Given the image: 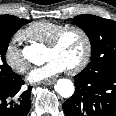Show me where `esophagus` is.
I'll return each instance as SVG.
<instances>
[{
  "instance_id": "obj_1",
  "label": "esophagus",
  "mask_w": 116,
  "mask_h": 116,
  "mask_svg": "<svg viewBox=\"0 0 116 116\" xmlns=\"http://www.w3.org/2000/svg\"><path fill=\"white\" fill-rule=\"evenodd\" d=\"M55 80H47V81H44L43 84L45 85H52L54 84Z\"/></svg>"
}]
</instances>
